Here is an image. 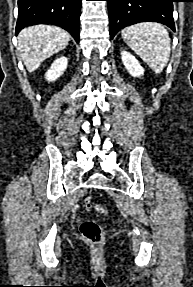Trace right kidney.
<instances>
[{
	"mask_svg": "<svg viewBox=\"0 0 193 287\" xmlns=\"http://www.w3.org/2000/svg\"><path fill=\"white\" fill-rule=\"evenodd\" d=\"M67 63L68 59L66 57H60L56 59L45 74L46 79L48 81H55L65 71L67 68Z\"/></svg>",
	"mask_w": 193,
	"mask_h": 287,
	"instance_id": "right-kidney-1",
	"label": "right kidney"
}]
</instances>
